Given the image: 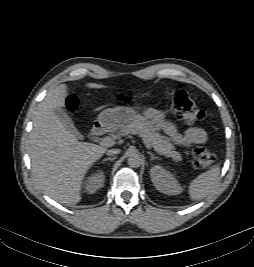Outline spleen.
I'll use <instances>...</instances> for the list:
<instances>
[{
  "label": "spleen",
  "mask_w": 254,
  "mask_h": 267,
  "mask_svg": "<svg viewBox=\"0 0 254 267\" xmlns=\"http://www.w3.org/2000/svg\"><path fill=\"white\" fill-rule=\"evenodd\" d=\"M220 167L213 166L210 170L201 173L189 185V195L192 200H200L209 195L219 179Z\"/></svg>",
  "instance_id": "obj_1"
}]
</instances>
